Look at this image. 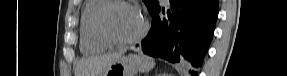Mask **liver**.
<instances>
[{
  "label": "liver",
  "mask_w": 287,
  "mask_h": 76,
  "mask_svg": "<svg viewBox=\"0 0 287 76\" xmlns=\"http://www.w3.org/2000/svg\"><path fill=\"white\" fill-rule=\"evenodd\" d=\"M120 57H122V53H113L96 57L83 58L77 64L75 76L102 75L106 69Z\"/></svg>",
  "instance_id": "1"
}]
</instances>
